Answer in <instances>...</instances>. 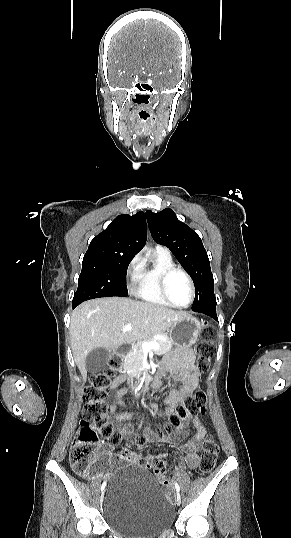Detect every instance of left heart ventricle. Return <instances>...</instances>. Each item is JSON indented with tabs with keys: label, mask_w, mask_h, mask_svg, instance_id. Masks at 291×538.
<instances>
[{
	"label": "left heart ventricle",
	"mask_w": 291,
	"mask_h": 538,
	"mask_svg": "<svg viewBox=\"0 0 291 538\" xmlns=\"http://www.w3.org/2000/svg\"><path fill=\"white\" fill-rule=\"evenodd\" d=\"M170 298L177 304L184 305L190 299V287L188 281L181 273H174L168 281Z\"/></svg>",
	"instance_id": "b2bd125f"
}]
</instances>
